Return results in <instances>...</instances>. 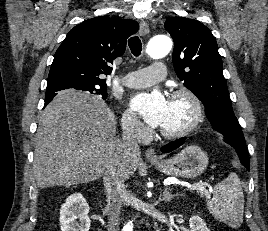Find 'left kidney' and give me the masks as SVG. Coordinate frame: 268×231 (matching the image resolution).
Listing matches in <instances>:
<instances>
[{
  "mask_svg": "<svg viewBox=\"0 0 268 231\" xmlns=\"http://www.w3.org/2000/svg\"><path fill=\"white\" fill-rule=\"evenodd\" d=\"M191 231H210L205 222L199 216H192L189 219Z\"/></svg>",
  "mask_w": 268,
  "mask_h": 231,
  "instance_id": "5707ae66",
  "label": "left kidney"
}]
</instances>
